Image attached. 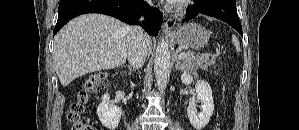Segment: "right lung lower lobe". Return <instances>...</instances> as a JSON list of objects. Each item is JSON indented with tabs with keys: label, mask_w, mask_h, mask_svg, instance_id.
Listing matches in <instances>:
<instances>
[{
	"label": "right lung lower lobe",
	"mask_w": 299,
	"mask_h": 130,
	"mask_svg": "<svg viewBox=\"0 0 299 130\" xmlns=\"http://www.w3.org/2000/svg\"><path fill=\"white\" fill-rule=\"evenodd\" d=\"M53 36L72 18L85 13H102L128 24H136L142 14L147 18L142 25L150 35H157L163 16L156 8H149L143 0H61Z\"/></svg>",
	"instance_id": "1"
}]
</instances>
